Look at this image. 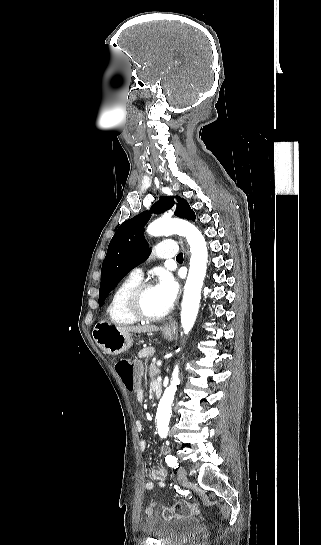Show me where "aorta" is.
I'll return each instance as SVG.
<instances>
[{
	"label": "aorta",
	"mask_w": 321,
	"mask_h": 545,
	"mask_svg": "<svg viewBox=\"0 0 321 545\" xmlns=\"http://www.w3.org/2000/svg\"><path fill=\"white\" fill-rule=\"evenodd\" d=\"M147 232L152 236L179 234L186 237L190 246V267L181 304V324L184 333L188 334L192 329L198 314L201 289L207 269L208 251L204 236L198 228L190 222L181 219L160 218L148 226ZM179 350L180 348L178 351ZM178 374L179 369L178 366H176L172 374L170 385L165 389L156 413L157 430L161 438H165L168 434L169 421L172 413L171 405L179 383Z\"/></svg>",
	"instance_id": "762f6f07"
}]
</instances>
